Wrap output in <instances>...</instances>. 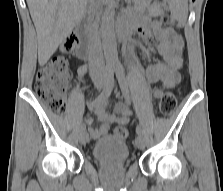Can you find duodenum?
<instances>
[{"mask_svg":"<svg viewBox=\"0 0 223 191\" xmlns=\"http://www.w3.org/2000/svg\"><path fill=\"white\" fill-rule=\"evenodd\" d=\"M77 30L80 32L81 35H86L88 39L91 38V33L88 29L83 30L80 26H78ZM117 32L121 40L126 39L130 34L129 29L123 24H119L117 26ZM90 52H91V49L87 44L82 45V47L79 50L80 57L82 58H88L90 56Z\"/></svg>","mask_w":223,"mask_h":191,"instance_id":"1","label":"duodenum"}]
</instances>
